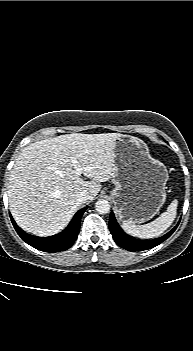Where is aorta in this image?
I'll return each instance as SVG.
<instances>
[{"label":"aorta","mask_w":193,"mask_h":351,"mask_svg":"<svg viewBox=\"0 0 193 351\" xmlns=\"http://www.w3.org/2000/svg\"><path fill=\"white\" fill-rule=\"evenodd\" d=\"M95 208L96 211L99 214H107L110 211V204L107 200L105 199H99L96 203H95Z\"/></svg>","instance_id":"obj_1"}]
</instances>
